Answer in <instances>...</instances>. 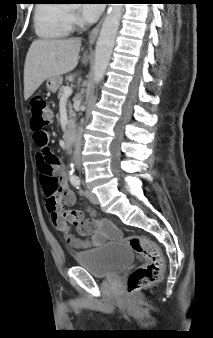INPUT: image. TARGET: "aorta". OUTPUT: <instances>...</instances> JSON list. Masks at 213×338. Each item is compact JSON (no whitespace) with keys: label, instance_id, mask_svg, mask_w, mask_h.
I'll use <instances>...</instances> for the list:
<instances>
[{"label":"aorta","instance_id":"obj_1","mask_svg":"<svg viewBox=\"0 0 213 338\" xmlns=\"http://www.w3.org/2000/svg\"><path fill=\"white\" fill-rule=\"evenodd\" d=\"M122 10V4H112L102 24L95 49L93 70V81L95 84H99L105 76L119 28Z\"/></svg>","mask_w":213,"mask_h":338}]
</instances>
